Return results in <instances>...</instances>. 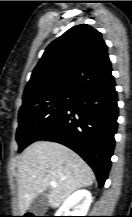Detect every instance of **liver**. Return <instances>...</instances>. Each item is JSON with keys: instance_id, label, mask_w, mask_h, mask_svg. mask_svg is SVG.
Returning a JSON list of instances; mask_svg holds the SVG:
<instances>
[{"instance_id": "1", "label": "liver", "mask_w": 132, "mask_h": 217, "mask_svg": "<svg viewBox=\"0 0 132 217\" xmlns=\"http://www.w3.org/2000/svg\"><path fill=\"white\" fill-rule=\"evenodd\" d=\"M94 180L92 169L68 147L50 141L34 142L24 150L18 165L19 214H25L32 201L45 190L49 205L56 208ZM52 181L57 186H51Z\"/></svg>"}]
</instances>
